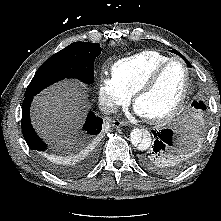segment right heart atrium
<instances>
[{"label":"right heart atrium","mask_w":221,"mask_h":221,"mask_svg":"<svg viewBox=\"0 0 221 221\" xmlns=\"http://www.w3.org/2000/svg\"><path fill=\"white\" fill-rule=\"evenodd\" d=\"M99 101L108 112L115 111L120 106H125L130 100V95L121 87L117 80L110 75L101 74L98 87Z\"/></svg>","instance_id":"d8ad5b80"}]
</instances>
